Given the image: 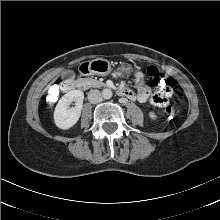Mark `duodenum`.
Returning a JSON list of instances; mask_svg holds the SVG:
<instances>
[{
    "mask_svg": "<svg viewBox=\"0 0 220 220\" xmlns=\"http://www.w3.org/2000/svg\"><path fill=\"white\" fill-rule=\"evenodd\" d=\"M62 90L64 91V92H70V91H72V90H74L75 89V82L74 81H65L63 84H62ZM117 93H118V95L119 96H124V97H128L129 96V93H128V91L127 90H125V89H119L118 91H117Z\"/></svg>",
    "mask_w": 220,
    "mask_h": 220,
    "instance_id": "410a0bca",
    "label": "duodenum"
}]
</instances>
